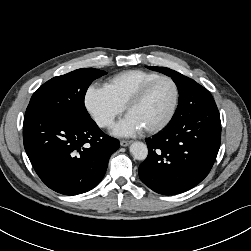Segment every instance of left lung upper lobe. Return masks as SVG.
Returning <instances> with one entry per match:
<instances>
[{
  "label": "left lung upper lobe",
  "instance_id": "1",
  "mask_svg": "<svg viewBox=\"0 0 251 251\" xmlns=\"http://www.w3.org/2000/svg\"><path fill=\"white\" fill-rule=\"evenodd\" d=\"M149 69L155 70V71H159L161 73H164L170 77H172L173 81L176 83L177 88H178V92H179V102H178V106L180 101L187 95V94H191L193 92H195L196 90H200L203 89L204 87H202L201 85H199L198 83H196L194 80L174 71L171 70L169 68H165V67H152V66H147ZM178 110V107H177ZM177 110L170 122V124L176 120L177 118Z\"/></svg>",
  "mask_w": 251,
  "mask_h": 251
}]
</instances>
